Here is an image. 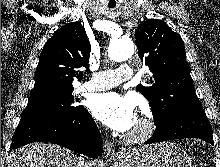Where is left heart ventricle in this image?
Listing matches in <instances>:
<instances>
[{
    "instance_id": "obj_1",
    "label": "left heart ventricle",
    "mask_w": 220,
    "mask_h": 167,
    "mask_svg": "<svg viewBox=\"0 0 220 167\" xmlns=\"http://www.w3.org/2000/svg\"><path fill=\"white\" fill-rule=\"evenodd\" d=\"M138 125V122L136 121L135 125L133 126L132 130H134Z\"/></svg>"
}]
</instances>
